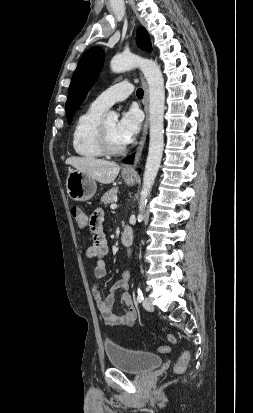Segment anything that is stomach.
Returning <instances> with one entry per match:
<instances>
[{
    "instance_id": "stomach-1",
    "label": "stomach",
    "mask_w": 253,
    "mask_h": 413,
    "mask_svg": "<svg viewBox=\"0 0 253 413\" xmlns=\"http://www.w3.org/2000/svg\"><path fill=\"white\" fill-rule=\"evenodd\" d=\"M122 178L128 185L135 183V177L122 174ZM66 189L68 196L75 201L90 200L96 193V181L88 174L77 169L69 170L66 178Z\"/></svg>"
}]
</instances>
